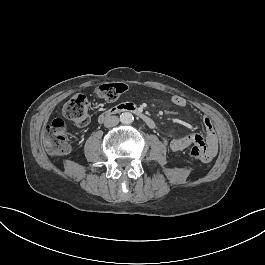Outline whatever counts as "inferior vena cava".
Returning a JSON list of instances; mask_svg holds the SVG:
<instances>
[{
	"label": "inferior vena cava",
	"mask_w": 265,
	"mask_h": 265,
	"mask_svg": "<svg viewBox=\"0 0 265 265\" xmlns=\"http://www.w3.org/2000/svg\"><path fill=\"white\" fill-rule=\"evenodd\" d=\"M118 123H119L118 117H116V116H109V117H107L105 119L104 126L106 128H110V127H114V126L118 125Z\"/></svg>",
	"instance_id": "1"
}]
</instances>
